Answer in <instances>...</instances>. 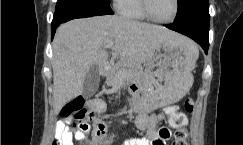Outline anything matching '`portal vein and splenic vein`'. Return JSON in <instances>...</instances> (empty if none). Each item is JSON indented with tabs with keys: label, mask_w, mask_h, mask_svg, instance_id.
I'll return each instance as SVG.
<instances>
[{
	"label": "portal vein and splenic vein",
	"mask_w": 243,
	"mask_h": 145,
	"mask_svg": "<svg viewBox=\"0 0 243 145\" xmlns=\"http://www.w3.org/2000/svg\"><path fill=\"white\" fill-rule=\"evenodd\" d=\"M114 46V42L110 41L109 43H107V45H105V48H112Z\"/></svg>",
	"instance_id": "portal-vein-and-splenic-vein-1"
}]
</instances>
